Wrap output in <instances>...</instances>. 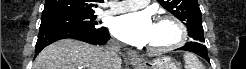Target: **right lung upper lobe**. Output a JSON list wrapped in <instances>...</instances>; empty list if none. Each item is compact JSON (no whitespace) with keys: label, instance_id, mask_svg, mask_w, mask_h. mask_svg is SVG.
I'll use <instances>...</instances> for the list:
<instances>
[{"label":"right lung upper lobe","instance_id":"1","mask_svg":"<svg viewBox=\"0 0 246 69\" xmlns=\"http://www.w3.org/2000/svg\"><path fill=\"white\" fill-rule=\"evenodd\" d=\"M98 0H46L42 17L58 14H92Z\"/></svg>","mask_w":246,"mask_h":69}]
</instances>
